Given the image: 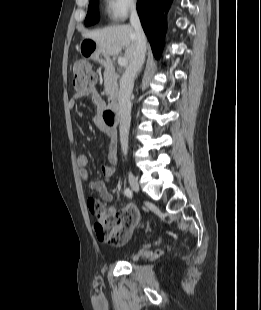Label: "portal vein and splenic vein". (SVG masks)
I'll return each instance as SVG.
<instances>
[{"mask_svg": "<svg viewBox=\"0 0 261 310\" xmlns=\"http://www.w3.org/2000/svg\"><path fill=\"white\" fill-rule=\"evenodd\" d=\"M118 64L120 66H126L128 64V60L125 59L124 57H120V58H118Z\"/></svg>", "mask_w": 261, "mask_h": 310, "instance_id": "portal-vein-and-splenic-vein-1", "label": "portal vein and splenic vein"}]
</instances>
